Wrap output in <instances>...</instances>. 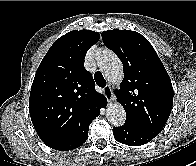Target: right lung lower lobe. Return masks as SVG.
<instances>
[{
	"label": "right lung lower lobe",
	"instance_id": "obj_1",
	"mask_svg": "<svg viewBox=\"0 0 196 166\" xmlns=\"http://www.w3.org/2000/svg\"><path fill=\"white\" fill-rule=\"evenodd\" d=\"M107 103H104L103 106H106ZM88 138V133L81 139H66V138H55L43 140V142L52 149L55 150H72L80 147Z\"/></svg>",
	"mask_w": 196,
	"mask_h": 166
}]
</instances>
